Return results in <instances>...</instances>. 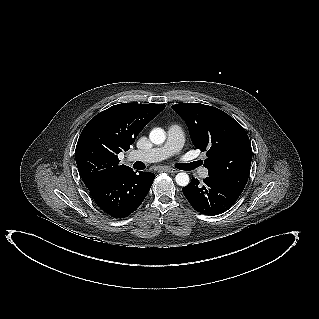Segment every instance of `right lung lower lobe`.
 <instances>
[{"instance_id":"98d812e1","label":"right lung lower lobe","mask_w":319,"mask_h":319,"mask_svg":"<svg viewBox=\"0 0 319 319\" xmlns=\"http://www.w3.org/2000/svg\"><path fill=\"white\" fill-rule=\"evenodd\" d=\"M154 178L153 173L136 174L129 169L105 181L90 193L105 213L114 218H123L134 212L143 202Z\"/></svg>"}]
</instances>
